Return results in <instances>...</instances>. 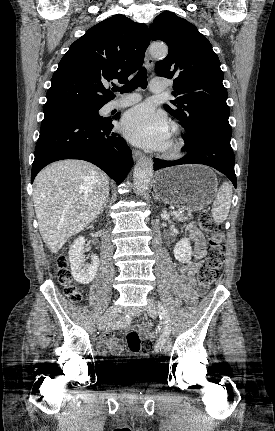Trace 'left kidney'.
<instances>
[{"instance_id":"left-kidney-1","label":"left kidney","mask_w":275,"mask_h":431,"mask_svg":"<svg viewBox=\"0 0 275 431\" xmlns=\"http://www.w3.org/2000/svg\"><path fill=\"white\" fill-rule=\"evenodd\" d=\"M161 218L168 220L170 218L166 211H163ZM174 256L181 263H188L191 260L192 248L190 246V241L188 238H183L174 247Z\"/></svg>"}]
</instances>
